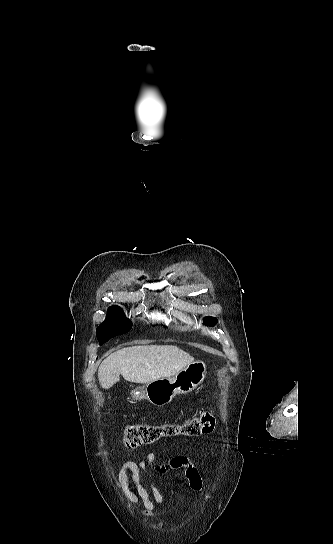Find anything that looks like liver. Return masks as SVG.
<instances>
[{
  "mask_svg": "<svg viewBox=\"0 0 333 544\" xmlns=\"http://www.w3.org/2000/svg\"><path fill=\"white\" fill-rule=\"evenodd\" d=\"M194 358L173 345H137L111 353L99 366L98 379L102 388L109 389L119 382L148 383L172 377L186 368Z\"/></svg>",
  "mask_w": 333,
  "mask_h": 544,
  "instance_id": "liver-1",
  "label": "liver"
}]
</instances>
